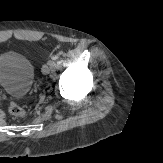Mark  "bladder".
<instances>
[{
  "instance_id": "bladder-1",
  "label": "bladder",
  "mask_w": 163,
  "mask_h": 163,
  "mask_svg": "<svg viewBox=\"0 0 163 163\" xmlns=\"http://www.w3.org/2000/svg\"><path fill=\"white\" fill-rule=\"evenodd\" d=\"M35 69L22 54L7 51L0 54V88L13 97H24L31 90Z\"/></svg>"
}]
</instances>
